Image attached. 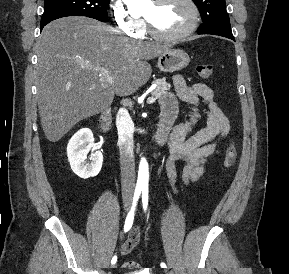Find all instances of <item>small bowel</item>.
I'll use <instances>...</instances> for the list:
<instances>
[{
  "label": "small bowel",
  "instance_id": "small-bowel-1",
  "mask_svg": "<svg viewBox=\"0 0 289 274\" xmlns=\"http://www.w3.org/2000/svg\"><path fill=\"white\" fill-rule=\"evenodd\" d=\"M175 94L166 93L161 98L162 113L174 111L177 113L179 101L192 106L191 115L182 123L176 125L169 137V157L166 161V174L173 191L177 193L175 182L178 177L176 163L184 161L181 179L185 186L198 182L205 174L210 157L216 152L219 143L228 136L231 130L230 122L218 106L213 90L203 83L188 85L184 78L176 75L173 78ZM206 106V125L190 137L192 127L201 118L200 105ZM141 242L139 227L130 231L126 241L120 246L119 253L128 255Z\"/></svg>",
  "mask_w": 289,
  "mask_h": 274
}]
</instances>
